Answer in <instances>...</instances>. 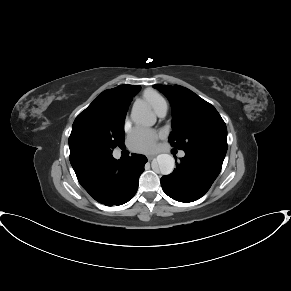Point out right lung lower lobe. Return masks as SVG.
<instances>
[{
  "label": "right lung lower lobe",
  "instance_id": "98d812e1",
  "mask_svg": "<svg viewBox=\"0 0 291 291\" xmlns=\"http://www.w3.org/2000/svg\"><path fill=\"white\" fill-rule=\"evenodd\" d=\"M70 162L81 186L99 203L122 205L133 198L147 158L132 154L116 160L112 153L72 152Z\"/></svg>",
  "mask_w": 291,
  "mask_h": 291
}]
</instances>
